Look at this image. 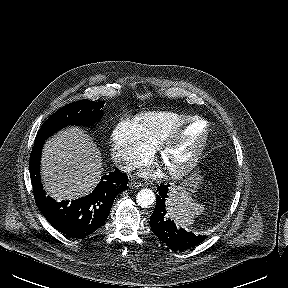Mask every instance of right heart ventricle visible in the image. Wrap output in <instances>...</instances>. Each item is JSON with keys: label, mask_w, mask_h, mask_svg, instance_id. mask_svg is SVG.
I'll return each instance as SVG.
<instances>
[{"label": "right heart ventricle", "mask_w": 288, "mask_h": 288, "mask_svg": "<svg viewBox=\"0 0 288 288\" xmlns=\"http://www.w3.org/2000/svg\"><path fill=\"white\" fill-rule=\"evenodd\" d=\"M189 117L178 112L156 111L140 115L137 122L146 140L153 148H156L167 133Z\"/></svg>", "instance_id": "right-heart-ventricle-1"}]
</instances>
